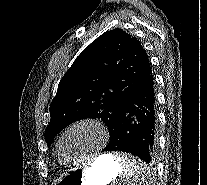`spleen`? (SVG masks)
Masks as SVG:
<instances>
[{
    "label": "spleen",
    "mask_w": 207,
    "mask_h": 185,
    "mask_svg": "<svg viewBox=\"0 0 207 185\" xmlns=\"http://www.w3.org/2000/svg\"><path fill=\"white\" fill-rule=\"evenodd\" d=\"M116 158L123 167L119 185H146L148 179H156V174H149L151 166H146L143 159H134L135 153H116Z\"/></svg>",
    "instance_id": "obj_1"
}]
</instances>
